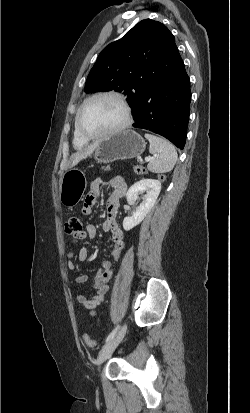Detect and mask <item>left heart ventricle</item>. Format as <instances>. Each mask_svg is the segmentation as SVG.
I'll return each instance as SVG.
<instances>
[{
  "instance_id": "left-heart-ventricle-1",
  "label": "left heart ventricle",
  "mask_w": 250,
  "mask_h": 413,
  "mask_svg": "<svg viewBox=\"0 0 250 413\" xmlns=\"http://www.w3.org/2000/svg\"><path fill=\"white\" fill-rule=\"evenodd\" d=\"M124 120V110L118 101L100 97L89 102L81 116L82 129L89 134H98L119 126Z\"/></svg>"
}]
</instances>
